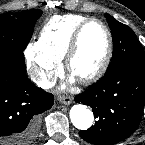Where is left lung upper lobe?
Here are the masks:
<instances>
[{
  "label": "left lung upper lobe",
  "mask_w": 145,
  "mask_h": 145,
  "mask_svg": "<svg viewBox=\"0 0 145 145\" xmlns=\"http://www.w3.org/2000/svg\"><path fill=\"white\" fill-rule=\"evenodd\" d=\"M113 37V57L106 72L112 73L125 67H133L145 71V51L135 33L127 25L105 14Z\"/></svg>",
  "instance_id": "left-lung-upper-lobe-1"
}]
</instances>
